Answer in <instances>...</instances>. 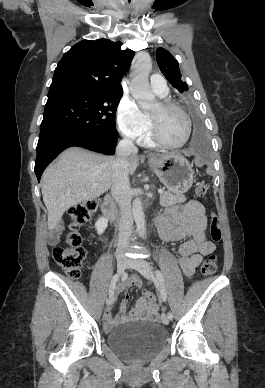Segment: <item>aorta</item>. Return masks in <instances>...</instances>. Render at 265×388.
<instances>
[{"label": "aorta", "instance_id": "obj_1", "mask_svg": "<svg viewBox=\"0 0 265 388\" xmlns=\"http://www.w3.org/2000/svg\"><path fill=\"white\" fill-rule=\"evenodd\" d=\"M152 68L151 58L147 53L141 52L132 65L130 91L142 109L150 108L155 96L149 86V72ZM132 212L140 237L146 234L145 215L142 208L141 199L136 197L132 204Z\"/></svg>", "mask_w": 265, "mask_h": 388}]
</instances>
